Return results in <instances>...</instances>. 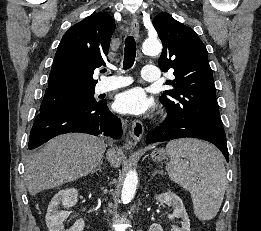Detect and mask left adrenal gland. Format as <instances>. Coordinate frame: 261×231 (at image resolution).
Masks as SVG:
<instances>
[{"label": "left adrenal gland", "instance_id": "obj_1", "mask_svg": "<svg viewBox=\"0 0 261 231\" xmlns=\"http://www.w3.org/2000/svg\"><path fill=\"white\" fill-rule=\"evenodd\" d=\"M158 173H159V174H162V172H161L160 170H157V169H156V170L154 171V173L152 174V177H154V176H155L156 174H158Z\"/></svg>", "mask_w": 261, "mask_h": 231}]
</instances>
